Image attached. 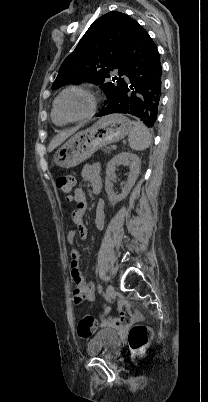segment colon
I'll return each instance as SVG.
<instances>
[{"label":"colon","instance_id":"colon-1","mask_svg":"<svg viewBox=\"0 0 208 402\" xmlns=\"http://www.w3.org/2000/svg\"><path fill=\"white\" fill-rule=\"evenodd\" d=\"M76 184V178L71 175H57L55 186L59 193L67 201L71 200L72 192ZM119 316L113 321L121 327H129V339L133 349H139L152 337V330L149 324H134L132 318V303L128 297H121L119 300ZM97 327V320L92 315H86L78 321L77 331L82 339L92 336Z\"/></svg>","mask_w":208,"mask_h":402}]
</instances>
